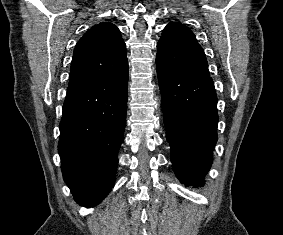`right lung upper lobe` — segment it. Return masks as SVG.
Listing matches in <instances>:
<instances>
[{
	"label": "right lung upper lobe",
	"mask_w": 283,
	"mask_h": 235,
	"mask_svg": "<svg viewBox=\"0 0 283 235\" xmlns=\"http://www.w3.org/2000/svg\"><path fill=\"white\" fill-rule=\"evenodd\" d=\"M128 70L119 29L103 22L89 29L74 49L68 91L115 78Z\"/></svg>",
	"instance_id": "1"
}]
</instances>
